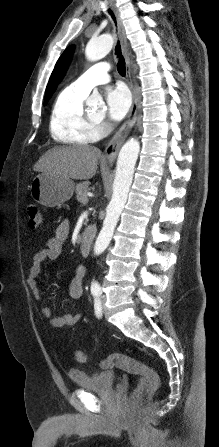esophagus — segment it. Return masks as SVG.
I'll return each mask as SVG.
<instances>
[{
	"label": "esophagus",
	"instance_id": "34e87169",
	"mask_svg": "<svg viewBox=\"0 0 219 447\" xmlns=\"http://www.w3.org/2000/svg\"><path fill=\"white\" fill-rule=\"evenodd\" d=\"M115 16L117 19V26H118V34L121 42V48L122 53L126 61V76H127V82L131 89L132 96H133V102L130 109V112L128 114V117L124 124L121 126V128L116 132V134L112 137L110 142L108 143L106 149H105V158L110 162L113 163L118 155V152L125 141L126 137L130 133L132 126L136 119L137 114V108H138V98H137V91L132 79L131 74V65H130V58L128 54V45H127V39L126 34L124 30V26L122 23V19L119 15V12L114 8Z\"/></svg>",
	"mask_w": 219,
	"mask_h": 447
}]
</instances>
